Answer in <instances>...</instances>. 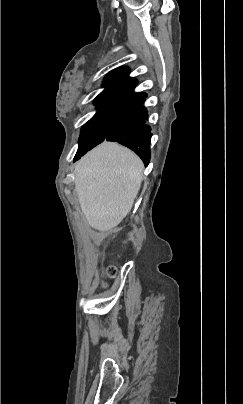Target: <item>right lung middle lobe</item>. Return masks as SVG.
I'll return each mask as SVG.
<instances>
[{
    "label": "right lung middle lobe",
    "instance_id": "obj_1",
    "mask_svg": "<svg viewBox=\"0 0 243 404\" xmlns=\"http://www.w3.org/2000/svg\"><path fill=\"white\" fill-rule=\"evenodd\" d=\"M127 106L119 103L98 105L96 114L81 129L79 148L74 161L105 140L114 122Z\"/></svg>",
    "mask_w": 243,
    "mask_h": 404
}]
</instances>
